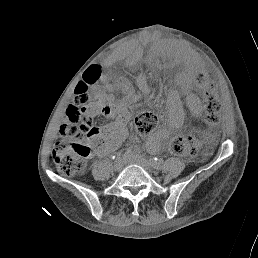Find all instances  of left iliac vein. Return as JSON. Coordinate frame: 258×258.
<instances>
[{
  "mask_svg": "<svg viewBox=\"0 0 258 258\" xmlns=\"http://www.w3.org/2000/svg\"><path fill=\"white\" fill-rule=\"evenodd\" d=\"M136 164H139L141 167H143L146 171H150L152 167V163L149 162L148 160L138 157L133 160Z\"/></svg>",
  "mask_w": 258,
  "mask_h": 258,
  "instance_id": "1",
  "label": "left iliac vein"
}]
</instances>
